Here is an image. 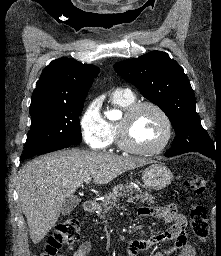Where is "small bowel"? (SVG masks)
Here are the masks:
<instances>
[{
	"instance_id": "small-bowel-1",
	"label": "small bowel",
	"mask_w": 221,
	"mask_h": 256,
	"mask_svg": "<svg viewBox=\"0 0 221 256\" xmlns=\"http://www.w3.org/2000/svg\"><path fill=\"white\" fill-rule=\"evenodd\" d=\"M140 216H149L163 220L165 223H170L171 226L161 233H157L147 239L134 240L129 247V255L136 256L139 251L148 249L158 243L172 241L173 247L171 250L162 252L157 251L153 256H168L175 253V256H196L194 247L188 242L186 236V217L179 213L176 206L173 204L154 208L142 207L138 210ZM93 249L91 241L81 243L74 251L73 256H86Z\"/></svg>"
}]
</instances>
